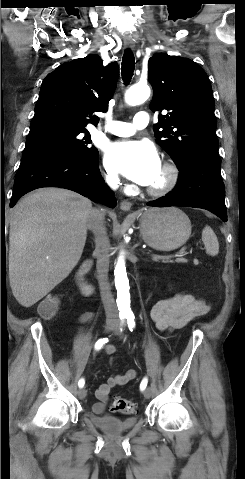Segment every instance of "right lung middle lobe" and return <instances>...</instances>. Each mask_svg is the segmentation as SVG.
Returning a JSON list of instances; mask_svg holds the SVG:
<instances>
[{
  "instance_id": "dd1d6c3e",
  "label": "right lung middle lobe",
  "mask_w": 245,
  "mask_h": 479,
  "mask_svg": "<svg viewBox=\"0 0 245 479\" xmlns=\"http://www.w3.org/2000/svg\"><path fill=\"white\" fill-rule=\"evenodd\" d=\"M91 142L86 129L57 124L34 127L30 128L22 159L57 151L78 155L96 163L99 160V153L94 146H88Z\"/></svg>"
}]
</instances>
